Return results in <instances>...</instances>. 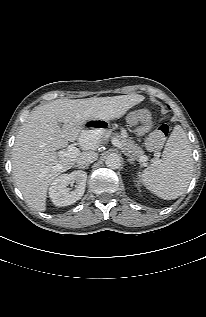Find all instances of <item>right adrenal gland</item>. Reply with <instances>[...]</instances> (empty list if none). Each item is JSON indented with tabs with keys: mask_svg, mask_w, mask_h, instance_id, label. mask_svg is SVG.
Masks as SVG:
<instances>
[{
	"mask_svg": "<svg viewBox=\"0 0 206 317\" xmlns=\"http://www.w3.org/2000/svg\"><path fill=\"white\" fill-rule=\"evenodd\" d=\"M75 167H77L78 169H88L89 165L84 166V167H80V166H78V165H75Z\"/></svg>",
	"mask_w": 206,
	"mask_h": 317,
	"instance_id": "1",
	"label": "right adrenal gland"
}]
</instances>
